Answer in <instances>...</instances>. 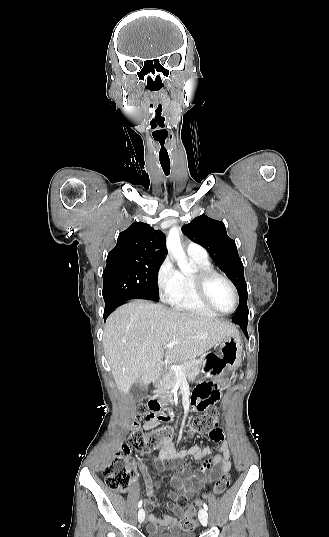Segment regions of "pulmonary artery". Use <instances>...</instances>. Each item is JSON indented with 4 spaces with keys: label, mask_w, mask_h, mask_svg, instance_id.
I'll return each instance as SVG.
<instances>
[{
    "label": "pulmonary artery",
    "mask_w": 329,
    "mask_h": 537,
    "mask_svg": "<svg viewBox=\"0 0 329 537\" xmlns=\"http://www.w3.org/2000/svg\"><path fill=\"white\" fill-rule=\"evenodd\" d=\"M186 251L188 255L192 257H197V258H202V259L208 257L206 250L201 245L194 243V242L188 243L186 247Z\"/></svg>",
    "instance_id": "obj_1"
}]
</instances>
